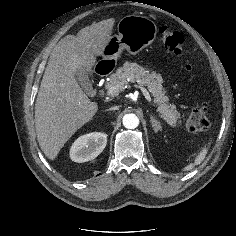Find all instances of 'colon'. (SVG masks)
<instances>
[{
	"label": "colon",
	"instance_id": "obj_1",
	"mask_svg": "<svg viewBox=\"0 0 236 236\" xmlns=\"http://www.w3.org/2000/svg\"><path fill=\"white\" fill-rule=\"evenodd\" d=\"M160 31L166 49L174 54H180L185 46L184 37L179 32L172 31L167 27H161ZM189 68L188 65L185 66L186 70H189ZM208 127L209 120L206 106L202 105L195 108L187 120L188 130L191 132H201L207 130Z\"/></svg>",
	"mask_w": 236,
	"mask_h": 236
}]
</instances>
